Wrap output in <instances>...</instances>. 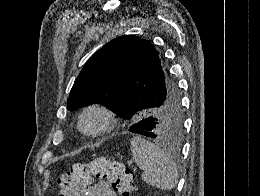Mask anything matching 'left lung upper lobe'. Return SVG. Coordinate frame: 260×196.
<instances>
[{"label":"left lung upper lobe","instance_id":"1","mask_svg":"<svg viewBox=\"0 0 260 196\" xmlns=\"http://www.w3.org/2000/svg\"><path fill=\"white\" fill-rule=\"evenodd\" d=\"M101 104L135 124L155 122L154 138L178 147L184 137V116L177 85L163 54L150 41L132 35L117 37L97 51L75 80L68 110Z\"/></svg>","mask_w":260,"mask_h":196}]
</instances>
